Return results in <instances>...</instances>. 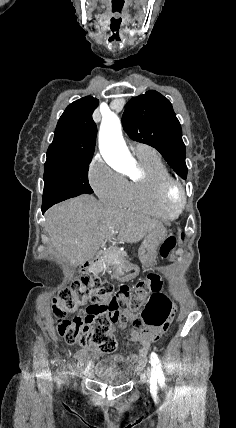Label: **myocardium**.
Masks as SVG:
<instances>
[{
  "mask_svg": "<svg viewBox=\"0 0 236 428\" xmlns=\"http://www.w3.org/2000/svg\"><path fill=\"white\" fill-rule=\"evenodd\" d=\"M157 196L164 208L176 213L182 211L187 205L184 185L172 177L164 178L158 183Z\"/></svg>",
  "mask_w": 236,
  "mask_h": 428,
  "instance_id": "1",
  "label": "myocardium"
}]
</instances>
